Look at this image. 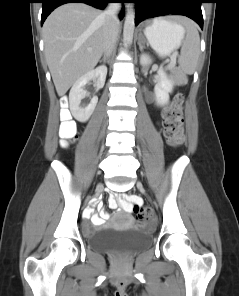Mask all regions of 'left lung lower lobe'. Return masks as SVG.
<instances>
[{
	"label": "left lung lower lobe",
	"mask_w": 239,
	"mask_h": 296,
	"mask_svg": "<svg viewBox=\"0 0 239 296\" xmlns=\"http://www.w3.org/2000/svg\"><path fill=\"white\" fill-rule=\"evenodd\" d=\"M135 24L146 18L168 14L184 15L193 19L203 29L201 3L203 0H134Z\"/></svg>",
	"instance_id": "0a47b994"
}]
</instances>
